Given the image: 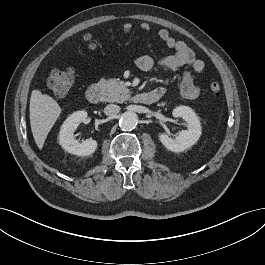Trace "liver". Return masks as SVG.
I'll return each mask as SVG.
<instances>
[{
    "label": "liver",
    "instance_id": "liver-1",
    "mask_svg": "<svg viewBox=\"0 0 265 265\" xmlns=\"http://www.w3.org/2000/svg\"><path fill=\"white\" fill-rule=\"evenodd\" d=\"M30 125L39 149L43 148L51 128L61 114L59 104L49 95L33 90L30 97Z\"/></svg>",
    "mask_w": 265,
    "mask_h": 265
}]
</instances>
